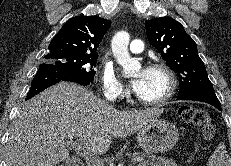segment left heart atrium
<instances>
[{
	"label": "left heart atrium",
	"mask_w": 231,
	"mask_h": 166,
	"mask_svg": "<svg viewBox=\"0 0 231 166\" xmlns=\"http://www.w3.org/2000/svg\"><path fill=\"white\" fill-rule=\"evenodd\" d=\"M146 76H147V70H142L131 80V86L135 93L138 94L141 92L145 84Z\"/></svg>",
	"instance_id": "obj_1"
}]
</instances>
